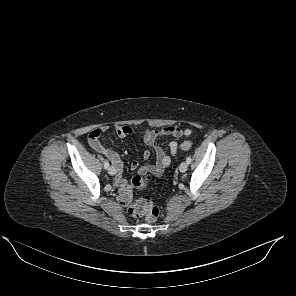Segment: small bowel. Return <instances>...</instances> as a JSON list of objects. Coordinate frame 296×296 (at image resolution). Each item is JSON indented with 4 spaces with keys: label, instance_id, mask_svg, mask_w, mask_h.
I'll return each instance as SVG.
<instances>
[{
    "label": "small bowel",
    "instance_id": "small-bowel-1",
    "mask_svg": "<svg viewBox=\"0 0 296 296\" xmlns=\"http://www.w3.org/2000/svg\"><path fill=\"white\" fill-rule=\"evenodd\" d=\"M108 129V126H102L101 128H96L90 131L88 135V143L93 150L104 155L112 162L116 170L114 184L117 187L121 188L126 185V179L123 175V163L121 157L117 152L105 148L100 141L101 134L106 132ZM114 130L115 133L121 138H126L134 134V130L128 126H116ZM140 134L144 143L154 149L156 154V162L155 164L150 165L140 164L139 162L134 161L131 163L130 168L132 170H137L140 173H150L155 177H159L170 165L171 156H175L177 154L178 144L175 141H171L168 144V154L161 146L156 143L157 139L162 136H173L175 138L189 136L191 134V130L182 129L178 125H169L160 130H151L144 128L140 131ZM150 155L151 154L148 150H145L142 153V157L144 160H148L150 158Z\"/></svg>",
    "mask_w": 296,
    "mask_h": 296
}]
</instances>
